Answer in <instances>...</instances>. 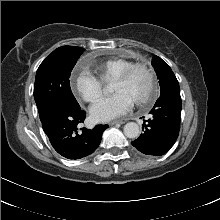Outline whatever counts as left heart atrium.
<instances>
[{
    "instance_id": "39dd6f15",
    "label": "left heart atrium",
    "mask_w": 220,
    "mask_h": 220,
    "mask_svg": "<svg viewBox=\"0 0 220 220\" xmlns=\"http://www.w3.org/2000/svg\"><path fill=\"white\" fill-rule=\"evenodd\" d=\"M134 101L126 93L119 92L104 98L91 108V116L97 122H106L126 114Z\"/></svg>"
}]
</instances>
